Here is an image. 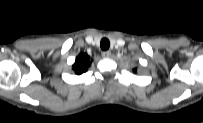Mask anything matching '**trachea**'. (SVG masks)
I'll return each mask as SVG.
<instances>
[{
	"instance_id": "trachea-1",
	"label": "trachea",
	"mask_w": 203,
	"mask_h": 123,
	"mask_svg": "<svg viewBox=\"0 0 203 123\" xmlns=\"http://www.w3.org/2000/svg\"><path fill=\"white\" fill-rule=\"evenodd\" d=\"M100 47L102 50H108L110 47V42L107 38H103L100 42Z\"/></svg>"
}]
</instances>
